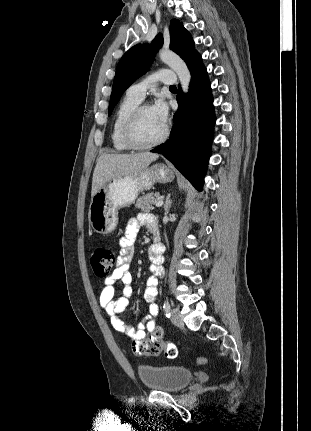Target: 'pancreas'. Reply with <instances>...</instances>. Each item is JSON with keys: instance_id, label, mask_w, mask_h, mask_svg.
<instances>
[{"instance_id": "cf45deb5", "label": "pancreas", "mask_w": 311, "mask_h": 431, "mask_svg": "<svg viewBox=\"0 0 311 431\" xmlns=\"http://www.w3.org/2000/svg\"><path fill=\"white\" fill-rule=\"evenodd\" d=\"M158 196H160L159 192H151V194H146V196L138 198L134 206L135 208H139L141 212H150V210H154L152 204H155L154 200H156Z\"/></svg>"}]
</instances>
